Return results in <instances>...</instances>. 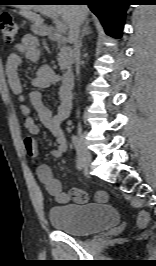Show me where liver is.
I'll list each match as a JSON object with an SVG mask.
<instances>
[{
    "label": "liver",
    "instance_id": "obj_1",
    "mask_svg": "<svg viewBox=\"0 0 156 266\" xmlns=\"http://www.w3.org/2000/svg\"><path fill=\"white\" fill-rule=\"evenodd\" d=\"M21 15L33 22L34 31L42 29L44 19L36 12L47 11L60 14L63 22L69 29V40H71V30L78 19L81 23L87 20L89 9L84 5H21Z\"/></svg>",
    "mask_w": 156,
    "mask_h": 266
}]
</instances>
